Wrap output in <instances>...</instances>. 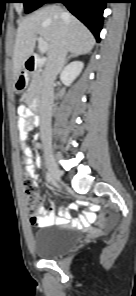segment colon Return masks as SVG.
<instances>
[{
	"label": "colon",
	"instance_id": "colon-1",
	"mask_svg": "<svg viewBox=\"0 0 136 296\" xmlns=\"http://www.w3.org/2000/svg\"><path fill=\"white\" fill-rule=\"evenodd\" d=\"M23 192L26 198V207L31 214V221H35L37 218V211L40 207L41 201L37 196L36 186L28 169L24 170V180L22 183Z\"/></svg>",
	"mask_w": 136,
	"mask_h": 296
}]
</instances>
